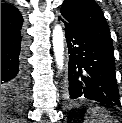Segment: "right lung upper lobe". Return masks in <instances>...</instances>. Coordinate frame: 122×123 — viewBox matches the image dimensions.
Wrapping results in <instances>:
<instances>
[{
    "label": "right lung upper lobe",
    "instance_id": "cb5924a9",
    "mask_svg": "<svg viewBox=\"0 0 122 123\" xmlns=\"http://www.w3.org/2000/svg\"><path fill=\"white\" fill-rule=\"evenodd\" d=\"M8 24L22 27L23 17L15 6L5 3L1 5V26Z\"/></svg>",
    "mask_w": 122,
    "mask_h": 123
}]
</instances>
